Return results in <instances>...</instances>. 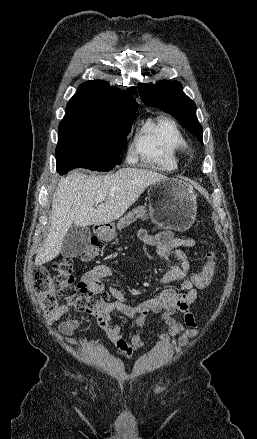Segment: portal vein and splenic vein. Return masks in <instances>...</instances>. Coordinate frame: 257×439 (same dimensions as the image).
Segmentation results:
<instances>
[{"label":"portal vein and splenic vein","mask_w":257,"mask_h":439,"mask_svg":"<svg viewBox=\"0 0 257 439\" xmlns=\"http://www.w3.org/2000/svg\"><path fill=\"white\" fill-rule=\"evenodd\" d=\"M105 200V195L104 194H100L98 195V197L96 198V203H101Z\"/></svg>","instance_id":"portal-vein-and-splenic-vein-1"}]
</instances>
